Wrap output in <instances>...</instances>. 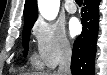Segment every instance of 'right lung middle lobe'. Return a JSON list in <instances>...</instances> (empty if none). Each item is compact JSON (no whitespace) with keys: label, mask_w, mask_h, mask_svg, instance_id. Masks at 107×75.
<instances>
[{"label":"right lung middle lobe","mask_w":107,"mask_h":75,"mask_svg":"<svg viewBox=\"0 0 107 75\" xmlns=\"http://www.w3.org/2000/svg\"><path fill=\"white\" fill-rule=\"evenodd\" d=\"M33 24L34 23H25L24 25L23 35H22L23 47L25 48L23 51L24 56H26L28 52V43H29L30 32Z\"/></svg>","instance_id":"obj_1"}]
</instances>
